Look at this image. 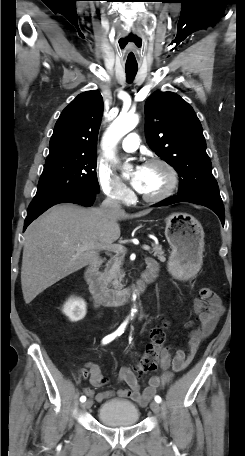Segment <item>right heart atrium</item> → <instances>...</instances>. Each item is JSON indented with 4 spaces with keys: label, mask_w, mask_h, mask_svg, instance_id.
Segmentation results:
<instances>
[{
    "label": "right heart atrium",
    "mask_w": 245,
    "mask_h": 456,
    "mask_svg": "<svg viewBox=\"0 0 245 456\" xmlns=\"http://www.w3.org/2000/svg\"><path fill=\"white\" fill-rule=\"evenodd\" d=\"M95 174L98 185L107 198L120 203L129 202L130 190L109 168L97 164Z\"/></svg>",
    "instance_id": "1"
}]
</instances>
